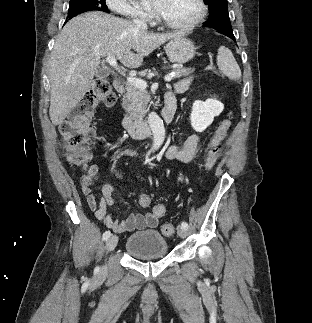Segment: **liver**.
Here are the masks:
<instances>
[{"instance_id": "obj_1", "label": "liver", "mask_w": 312, "mask_h": 323, "mask_svg": "<svg viewBox=\"0 0 312 323\" xmlns=\"http://www.w3.org/2000/svg\"><path fill=\"white\" fill-rule=\"evenodd\" d=\"M172 38H180V34H150L103 12H88L69 20L55 40L49 66L53 126L62 124L82 100L101 58L113 56L126 68H140L145 56Z\"/></svg>"}]
</instances>
